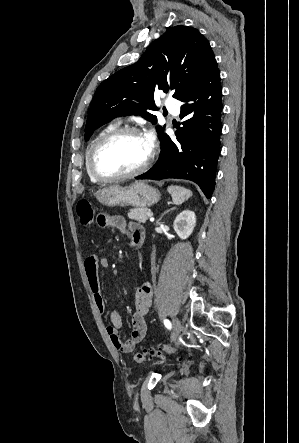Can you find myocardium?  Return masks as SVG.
<instances>
[{"label": "myocardium", "instance_id": "obj_1", "mask_svg": "<svg viewBox=\"0 0 299 443\" xmlns=\"http://www.w3.org/2000/svg\"><path fill=\"white\" fill-rule=\"evenodd\" d=\"M126 134H138V135L144 136L143 132L137 127H134V126L118 127V128L111 130L110 132L104 134L92 146L90 153H89V157H88V165H89V170H90L91 175L99 182H115V181L129 179V178H132V177L142 174L143 172H145L149 168V166L153 160V157H154L153 147L150 149L145 161L139 167H137L131 171L121 173V174L108 175V174H104L103 172H101L98 169L95 160H96V156H97V153L99 152V150L105 144L112 141L113 139L123 136V135H126Z\"/></svg>", "mask_w": 299, "mask_h": 443}]
</instances>
